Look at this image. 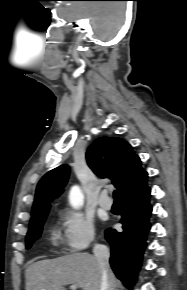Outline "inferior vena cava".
<instances>
[{
	"label": "inferior vena cava",
	"mask_w": 187,
	"mask_h": 290,
	"mask_svg": "<svg viewBox=\"0 0 187 290\" xmlns=\"http://www.w3.org/2000/svg\"><path fill=\"white\" fill-rule=\"evenodd\" d=\"M93 253L102 270L101 290H108L109 249L105 245L95 244Z\"/></svg>",
	"instance_id": "obj_1"
}]
</instances>
